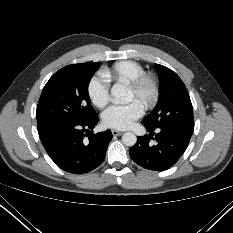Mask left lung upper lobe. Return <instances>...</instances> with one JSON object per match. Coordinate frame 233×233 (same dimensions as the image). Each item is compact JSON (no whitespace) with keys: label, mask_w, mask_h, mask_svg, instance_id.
I'll use <instances>...</instances> for the list:
<instances>
[{"label":"left lung upper lobe","mask_w":233,"mask_h":233,"mask_svg":"<svg viewBox=\"0 0 233 233\" xmlns=\"http://www.w3.org/2000/svg\"><path fill=\"white\" fill-rule=\"evenodd\" d=\"M155 67L160 80L159 101L142 123L151 129H194L193 108L184 83L171 69L159 64H155Z\"/></svg>","instance_id":"obj_1"}]
</instances>
